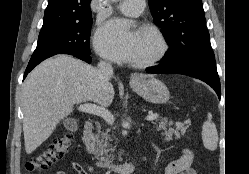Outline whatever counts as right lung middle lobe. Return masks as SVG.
Here are the masks:
<instances>
[{"mask_svg":"<svg viewBox=\"0 0 249 174\" xmlns=\"http://www.w3.org/2000/svg\"><path fill=\"white\" fill-rule=\"evenodd\" d=\"M91 25L92 18H88L83 21L42 28L37 47L29 62L55 54H91L89 48Z\"/></svg>","mask_w":249,"mask_h":174,"instance_id":"obj_1","label":"right lung middle lobe"}]
</instances>
